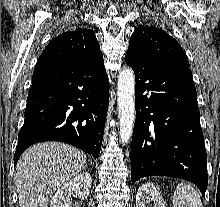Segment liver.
<instances>
[{
    "label": "liver",
    "instance_id": "1",
    "mask_svg": "<svg viewBox=\"0 0 220 207\" xmlns=\"http://www.w3.org/2000/svg\"><path fill=\"white\" fill-rule=\"evenodd\" d=\"M86 166V155L70 145L43 142L29 147L14 175L20 207H48L57 188Z\"/></svg>",
    "mask_w": 220,
    "mask_h": 207
}]
</instances>
